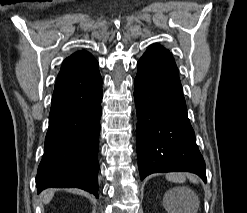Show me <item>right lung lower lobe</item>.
<instances>
[{
	"label": "right lung lower lobe",
	"instance_id": "1",
	"mask_svg": "<svg viewBox=\"0 0 247 213\" xmlns=\"http://www.w3.org/2000/svg\"><path fill=\"white\" fill-rule=\"evenodd\" d=\"M102 78L98 67L56 81L38 167V192L49 188H81L98 197Z\"/></svg>",
	"mask_w": 247,
	"mask_h": 213
}]
</instances>
